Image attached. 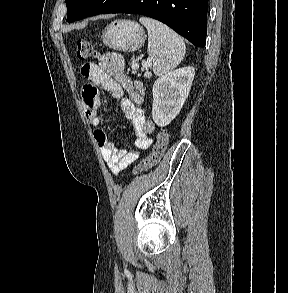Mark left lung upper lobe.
<instances>
[{"instance_id":"left-lung-upper-lobe-1","label":"left lung upper lobe","mask_w":288,"mask_h":293,"mask_svg":"<svg viewBox=\"0 0 288 293\" xmlns=\"http://www.w3.org/2000/svg\"><path fill=\"white\" fill-rule=\"evenodd\" d=\"M118 0H65L67 21L73 22L85 17L101 14Z\"/></svg>"}]
</instances>
